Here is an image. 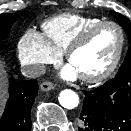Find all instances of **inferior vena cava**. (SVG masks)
<instances>
[{
    "label": "inferior vena cava",
    "instance_id": "obj_1",
    "mask_svg": "<svg viewBox=\"0 0 131 131\" xmlns=\"http://www.w3.org/2000/svg\"><path fill=\"white\" fill-rule=\"evenodd\" d=\"M45 66L27 65L21 69L22 74L28 78H37L45 73Z\"/></svg>",
    "mask_w": 131,
    "mask_h": 131
}]
</instances>
